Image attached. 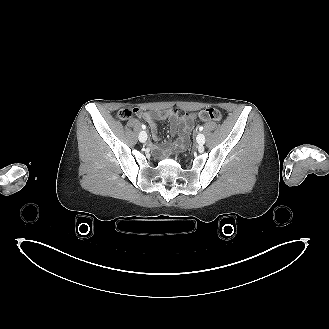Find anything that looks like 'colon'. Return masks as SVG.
<instances>
[{"label": "colon", "mask_w": 329, "mask_h": 329, "mask_svg": "<svg viewBox=\"0 0 329 329\" xmlns=\"http://www.w3.org/2000/svg\"><path fill=\"white\" fill-rule=\"evenodd\" d=\"M141 111L140 109H135L134 112ZM132 111L128 109L121 110L118 113V117L121 120H127L131 117ZM196 118H198L201 121H221L222 114L221 112L216 108H206L199 112H196L193 114Z\"/></svg>", "instance_id": "obj_1"}]
</instances>
